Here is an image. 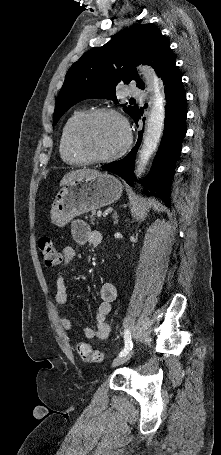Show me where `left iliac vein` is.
Segmentation results:
<instances>
[{
    "label": "left iliac vein",
    "instance_id": "left-iliac-vein-1",
    "mask_svg": "<svg viewBox=\"0 0 221 455\" xmlns=\"http://www.w3.org/2000/svg\"><path fill=\"white\" fill-rule=\"evenodd\" d=\"M133 353H134V351H129L127 354H125L123 356H119L112 362V367H116V366H119V365L125 363L132 357Z\"/></svg>",
    "mask_w": 221,
    "mask_h": 455
}]
</instances>
